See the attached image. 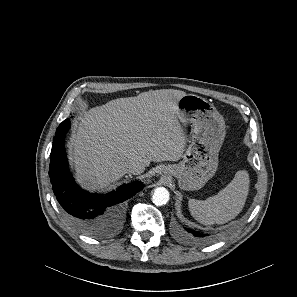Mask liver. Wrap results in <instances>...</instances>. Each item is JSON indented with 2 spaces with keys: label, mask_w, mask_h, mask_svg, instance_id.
<instances>
[{
  "label": "liver",
  "mask_w": 297,
  "mask_h": 297,
  "mask_svg": "<svg viewBox=\"0 0 297 297\" xmlns=\"http://www.w3.org/2000/svg\"><path fill=\"white\" fill-rule=\"evenodd\" d=\"M184 91L161 89L118 98L86 111L70 139L78 181L100 189L126 174L125 163L177 161L185 136L177 118Z\"/></svg>",
  "instance_id": "6515ba94"
}]
</instances>
